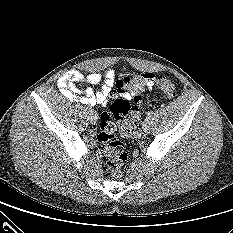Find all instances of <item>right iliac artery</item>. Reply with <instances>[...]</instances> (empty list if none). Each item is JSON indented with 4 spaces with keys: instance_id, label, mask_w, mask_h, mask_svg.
I'll return each mask as SVG.
<instances>
[{
    "instance_id": "1",
    "label": "right iliac artery",
    "mask_w": 233,
    "mask_h": 233,
    "mask_svg": "<svg viewBox=\"0 0 233 233\" xmlns=\"http://www.w3.org/2000/svg\"><path fill=\"white\" fill-rule=\"evenodd\" d=\"M85 111H86L87 113H92V109H91L90 107H86V108H85Z\"/></svg>"
}]
</instances>
